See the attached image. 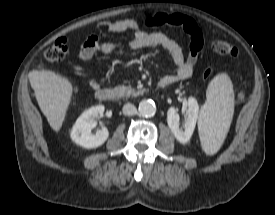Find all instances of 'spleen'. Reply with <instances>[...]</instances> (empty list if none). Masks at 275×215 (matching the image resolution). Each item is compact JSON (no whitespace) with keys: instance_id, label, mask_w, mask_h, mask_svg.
Segmentation results:
<instances>
[{"instance_id":"3e777b00","label":"spleen","mask_w":275,"mask_h":215,"mask_svg":"<svg viewBox=\"0 0 275 215\" xmlns=\"http://www.w3.org/2000/svg\"><path fill=\"white\" fill-rule=\"evenodd\" d=\"M206 97L199 114L198 129L203 151L213 155L226 138L234 112L233 85L226 73L217 74L211 80Z\"/></svg>"}]
</instances>
